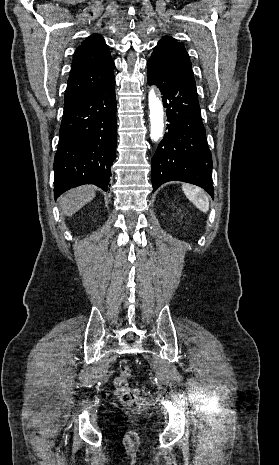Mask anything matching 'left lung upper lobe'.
<instances>
[{
  "label": "left lung upper lobe",
  "instance_id": "5c2ea615",
  "mask_svg": "<svg viewBox=\"0 0 279 465\" xmlns=\"http://www.w3.org/2000/svg\"><path fill=\"white\" fill-rule=\"evenodd\" d=\"M152 58L192 71L189 55L184 46L172 37H163L154 47Z\"/></svg>",
  "mask_w": 279,
  "mask_h": 465
}]
</instances>
